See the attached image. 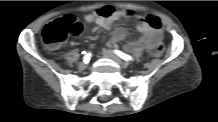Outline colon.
<instances>
[{
	"mask_svg": "<svg viewBox=\"0 0 218 122\" xmlns=\"http://www.w3.org/2000/svg\"><path fill=\"white\" fill-rule=\"evenodd\" d=\"M145 21L152 27L161 28L159 18L154 15H147ZM83 30L82 24L74 15L67 14L58 17L49 22L42 31V40L50 49L57 48L68 36H77ZM165 47L158 44L154 52L155 58H160L164 55Z\"/></svg>",
	"mask_w": 218,
	"mask_h": 122,
	"instance_id": "5ec220e1",
	"label": "colon"
}]
</instances>
